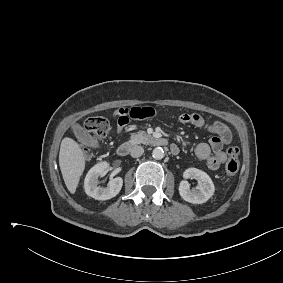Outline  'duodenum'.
<instances>
[{"mask_svg":"<svg viewBox=\"0 0 283 283\" xmlns=\"http://www.w3.org/2000/svg\"><path fill=\"white\" fill-rule=\"evenodd\" d=\"M152 143L156 146H167L168 140L165 137H155L152 139ZM133 146L134 143L132 142L122 143L117 147L116 152L119 156H126ZM170 150L173 154H178L179 152V148L175 144L170 145Z\"/></svg>","mask_w":283,"mask_h":283,"instance_id":"1","label":"duodenum"}]
</instances>
